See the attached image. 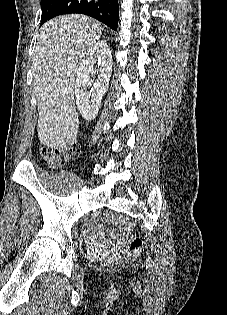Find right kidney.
<instances>
[{
  "label": "right kidney",
  "instance_id": "right-kidney-1",
  "mask_svg": "<svg viewBox=\"0 0 227 315\" xmlns=\"http://www.w3.org/2000/svg\"><path fill=\"white\" fill-rule=\"evenodd\" d=\"M96 63L98 67L95 66ZM96 72H99L98 79L93 84V90L89 92L87 91V87L91 85L89 75ZM111 73V51L106 41L102 40L88 50L77 72L74 94L77 107L86 121L93 120L98 114L102 97L108 90Z\"/></svg>",
  "mask_w": 227,
  "mask_h": 315
}]
</instances>
